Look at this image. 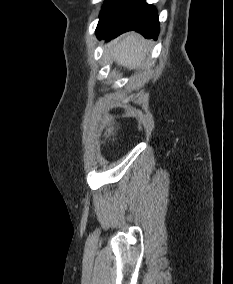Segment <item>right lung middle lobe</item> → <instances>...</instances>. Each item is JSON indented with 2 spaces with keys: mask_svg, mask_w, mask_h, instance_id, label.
Listing matches in <instances>:
<instances>
[{
  "mask_svg": "<svg viewBox=\"0 0 233 284\" xmlns=\"http://www.w3.org/2000/svg\"><path fill=\"white\" fill-rule=\"evenodd\" d=\"M114 0H106L104 5H103V8H102V11H101V14L108 8V6L113 2Z\"/></svg>",
  "mask_w": 233,
  "mask_h": 284,
  "instance_id": "1",
  "label": "right lung middle lobe"
}]
</instances>
